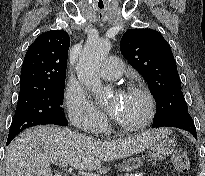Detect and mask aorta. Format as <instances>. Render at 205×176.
Instances as JSON below:
<instances>
[{
	"label": "aorta",
	"instance_id": "1",
	"mask_svg": "<svg viewBox=\"0 0 205 176\" xmlns=\"http://www.w3.org/2000/svg\"><path fill=\"white\" fill-rule=\"evenodd\" d=\"M110 48L111 43L107 39L88 41L77 63L79 81L99 99L107 93L102 89L99 72L101 63L108 55Z\"/></svg>",
	"mask_w": 205,
	"mask_h": 176
}]
</instances>
